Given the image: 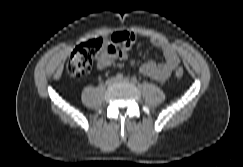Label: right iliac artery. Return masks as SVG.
<instances>
[{"instance_id":"right-iliac-artery-1","label":"right iliac artery","mask_w":243,"mask_h":167,"mask_svg":"<svg viewBox=\"0 0 243 167\" xmlns=\"http://www.w3.org/2000/svg\"><path fill=\"white\" fill-rule=\"evenodd\" d=\"M116 79H117V80H121V79H123V74L118 73V74L116 75Z\"/></svg>"}]
</instances>
